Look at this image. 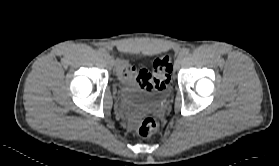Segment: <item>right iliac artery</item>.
<instances>
[{
  "mask_svg": "<svg viewBox=\"0 0 279 166\" xmlns=\"http://www.w3.org/2000/svg\"><path fill=\"white\" fill-rule=\"evenodd\" d=\"M99 54H101V55H106V50L105 49H99Z\"/></svg>",
  "mask_w": 279,
  "mask_h": 166,
  "instance_id": "82829eb1",
  "label": "right iliac artery"
}]
</instances>
